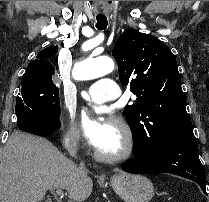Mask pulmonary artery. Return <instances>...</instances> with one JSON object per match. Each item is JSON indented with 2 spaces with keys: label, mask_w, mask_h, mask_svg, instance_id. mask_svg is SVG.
Listing matches in <instances>:
<instances>
[{
  "label": "pulmonary artery",
  "mask_w": 209,
  "mask_h": 202,
  "mask_svg": "<svg viewBox=\"0 0 209 202\" xmlns=\"http://www.w3.org/2000/svg\"><path fill=\"white\" fill-rule=\"evenodd\" d=\"M81 95L93 104H102L117 97V83L114 80L101 79L82 89Z\"/></svg>",
  "instance_id": "e3ab8cb5"
}]
</instances>
